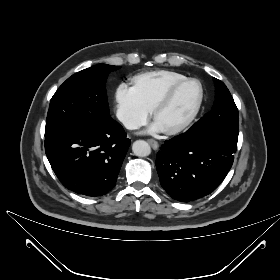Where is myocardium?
I'll use <instances>...</instances> for the list:
<instances>
[{
	"mask_svg": "<svg viewBox=\"0 0 280 280\" xmlns=\"http://www.w3.org/2000/svg\"><path fill=\"white\" fill-rule=\"evenodd\" d=\"M187 83H196L198 85V87H199L198 100H197L192 112L190 113V115L188 116V118L185 121H183L181 124L177 125L176 127L171 128V129L162 130V132L166 135H175V134H178V133L184 131L196 119V117L201 109L203 100H204V88H203L202 83L196 78H185L181 81L173 83L165 90V92L161 95V97L157 100V102L154 104V106L151 109V115H152L153 120L155 121L157 112L169 103V101L173 97L175 91L179 87H181Z\"/></svg>",
	"mask_w": 280,
	"mask_h": 280,
	"instance_id": "myocardium-1",
	"label": "myocardium"
}]
</instances>
